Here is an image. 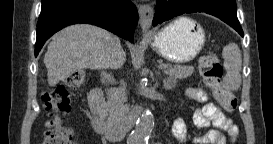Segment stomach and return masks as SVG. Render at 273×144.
<instances>
[{"label": "stomach", "instance_id": "obj_1", "mask_svg": "<svg viewBox=\"0 0 273 144\" xmlns=\"http://www.w3.org/2000/svg\"><path fill=\"white\" fill-rule=\"evenodd\" d=\"M152 49L174 63L193 60L205 43L203 27L188 17H179L147 39Z\"/></svg>", "mask_w": 273, "mask_h": 144}]
</instances>
